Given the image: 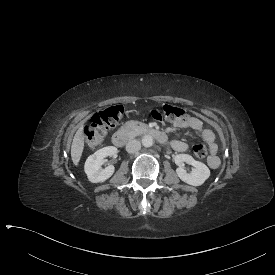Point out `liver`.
<instances>
[{"mask_svg":"<svg viewBox=\"0 0 275 275\" xmlns=\"http://www.w3.org/2000/svg\"><path fill=\"white\" fill-rule=\"evenodd\" d=\"M83 148H84V136H83V126H81L74 138H73V142L71 145V158L72 161L74 163V165H78L82 152H83Z\"/></svg>","mask_w":275,"mask_h":275,"instance_id":"obj_1","label":"liver"}]
</instances>
